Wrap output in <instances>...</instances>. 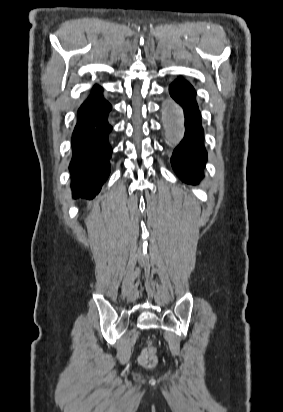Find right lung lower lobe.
I'll return each mask as SVG.
<instances>
[{"label": "right lung lower lobe", "mask_w": 283, "mask_h": 412, "mask_svg": "<svg viewBox=\"0 0 283 412\" xmlns=\"http://www.w3.org/2000/svg\"><path fill=\"white\" fill-rule=\"evenodd\" d=\"M111 105L95 86L93 93L78 110L77 124L72 134L73 157L70 164L74 197L92 199L110 172L112 148L108 137L112 125L108 121Z\"/></svg>", "instance_id": "98d812e1"}]
</instances>
